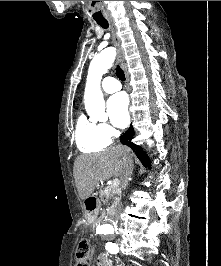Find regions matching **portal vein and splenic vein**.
Wrapping results in <instances>:
<instances>
[{"label":"portal vein and splenic vein","mask_w":221,"mask_h":266,"mask_svg":"<svg viewBox=\"0 0 221 266\" xmlns=\"http://www.w3.org/2000/svg\"><path fill=\"white\" fill-rule=\"evenodd\" d=\"M119 184H120L119 179L115 178V179H113V181L111 182V185H110V186H111V187H118Z\"/></svg>","instance_id":"portal-vein-and-splenic-vein-1"}]
</instances>
